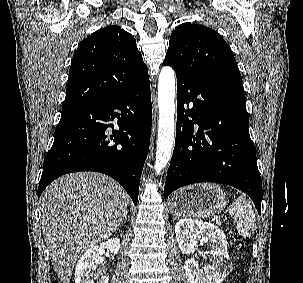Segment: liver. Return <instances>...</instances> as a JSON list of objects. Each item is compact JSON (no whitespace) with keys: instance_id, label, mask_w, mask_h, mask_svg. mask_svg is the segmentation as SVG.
<instances>
[{"instance_id":"6515ba94","label":"liver","mask_w":303,"mask_h":283,"mask_svg":"<svg viewBox=\"0 0 303 283\" xmlns=\"http://www.w3.org/2000/svg\"><path fill=\"white\" fill-rule=\"evenodd\" d=\"M127 208V194L96 172L66 174L40 199L42 231L61 283H69L79 256L110 237Z\"/></svg>"}]
</instances>
